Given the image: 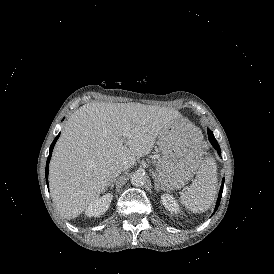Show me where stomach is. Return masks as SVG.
Here are the masks:
<instances>
[{"label": "stomach", "mask_w": 274, "mask_h": 274, "mask_svg": "<svg viewBox=\"0 0 274 274\" xmlns=\"http://www.w3.org/2000/svg\"><path fill=\"white\" fill-rule=\"evenodd\" d=\"M169 132L168 137L158 140L162 156L156 162L154 171L157 184L166 192L183 188L199 168L193 149L194 137L198 135L197 128L186 122L178 133L172 127Z\"/></svg>", "instance_id": "0dacf381"}]
</instances>
